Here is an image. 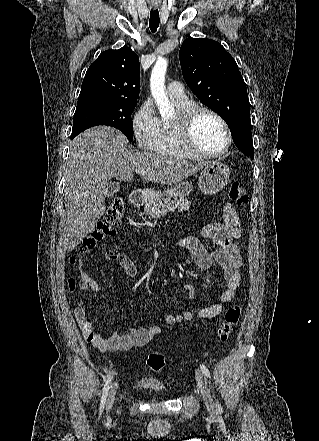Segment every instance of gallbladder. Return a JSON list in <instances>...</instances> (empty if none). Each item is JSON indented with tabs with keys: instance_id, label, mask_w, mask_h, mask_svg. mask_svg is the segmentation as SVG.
<instances>
[{
	"instance_id": "1",
	"label": "gallbladder",
	"mask_w": 319,
	"mask_h": 441,
	"mask_svg": "<svg viewBox=\"0 0 319 441\" xmlns=\"http://www.w3.org/2000/svg\"><path fill=\"white\" fill-rule=\"evenodd\" d=\"M120 189V185L117 182H112L108 185V190L106 193V197H112L118 190Z\"/></svg>"
}]
</instances>
